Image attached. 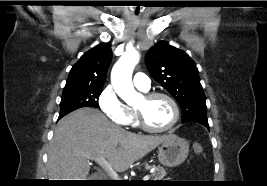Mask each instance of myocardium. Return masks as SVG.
<instances>
[{
	"instance_id": "obj_1",
	"label": "myocardium",
	"mask_w": 267,
	"mask_h": 186,
	"mask_svg": "<svg viewBox=\"0 0 267 186\" xmlns=\"http://www.w3.org/2000/svg\"><path fill=\"white\" fill-rule=\"evenodd\" d=\"M157 97H163L170 102L172 109H173V118L167 126L162 127V128H153L147 124L145 117H144L143 110L141 108H136L135 112L137 116L138 126L142 130L149 132V133H163V132L170 131L176 126V124L178 123L180 119V109H179L178 103L170 94L166 92H161V91L147 92L143 98L145 101H150Z\"/></svg>"
}]
</instances>
